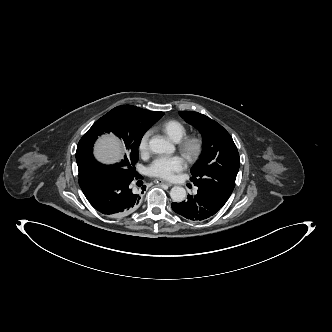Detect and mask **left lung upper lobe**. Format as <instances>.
I'll use <instances>...</instances> for the list:
<instances>
[{
  "instance_id": "left-lung-upper-lobe-1",
  "label": "left lung upper lobe",
  "mask_w": 332,
  "mask_h": 332,
  "mask_svg": "<svg viewBox=\"0 0 332 332\" xmlns=\"http://www.w3.org/2000/svg\"><path fill=\"white\" fill-rule=\"evenodd\" d=\"M179 115L203 136V152L191 170L194 185L227 201L235 187L240 158L230 134L216 121L193 111Z\"/></svg>"
}]
</instances>
